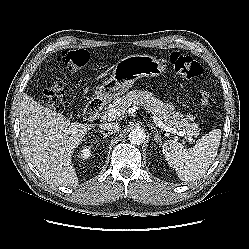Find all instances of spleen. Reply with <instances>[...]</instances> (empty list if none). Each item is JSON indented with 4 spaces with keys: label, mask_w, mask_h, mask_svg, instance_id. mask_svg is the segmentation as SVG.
Returning <instances> with one entry per match:
<instances>
[{
    "label": "spleen",
    "mask_w": 249,
    "mask_h": 249,
    "mask_svg": "<svg viewBox=\"0 0 249 249\" xmlns=\"http://www.w3.org/2000/svg\"><path fill=\"white\" fill-rule=\"evenodd\" d=\"M220 139L221 130L214 129L198 139L193 148L186 149L176 140H167L162 151L179 179L191 182L203 176L215 160Z\"/></svg>",
    "instance_id": "obj_1"
}]
</instances>
